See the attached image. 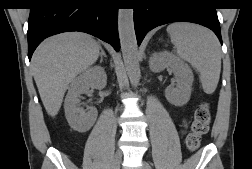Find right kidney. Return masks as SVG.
<instances>
[{
  "label": "right kidney",
  "mask_w": 252,
  "mask_h": 169,
  "mask_svg": "<svg viewBox=\"0 0 252 169\" xmlns=\"http://www.w3.org/2000/svg\"><path fill=\"white\" fill-rule=\"evenodd\" d=\"M106 74L103 69L96 68L79 78L71 87L66 100L68 119L73 127L79 131L88 130L96 119V112L85 114L80 108L82 94H85L90 86L105 81Z\"/></svg>",
  "instance_id": "1"
}]
</instances>
